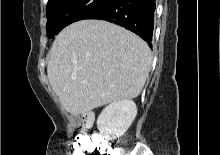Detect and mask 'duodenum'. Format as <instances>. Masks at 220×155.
Returning <instances> with one entry per match:
<instances>
[{"mask_svg":"<svg viewBox=\"0 0 220 155\" xmlns=\"http://www.w3.org/2000/svg\"><path fill=\"white\" fill-rule=\"evenodd\" d=\"M92 121H93V117H92V114L90 113H87L85 117L83 118V124L86 128L91 126Z\"/></svg>","mask_w":220,"mask_h":155,"instance_id":"1","label":"duodenum"}]
</instances>
